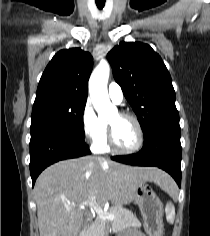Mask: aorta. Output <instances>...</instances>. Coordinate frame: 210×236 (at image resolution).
Listing matches in <instances>:
<instances>
[{"label": "aorta", "instance_id": "762f6f07", "mask_svg": "<svg viewBox=\"0 0 210 236\" xmlns=\"http://www.w3.org/2000/svg\"><path fill=\"white\" fill-rule=\"evenodd\" d=\"M110 74V65L107 61H100L92 72L89 79V93L100 118H107L117 112L114 105L111 104L107 83Z\"/></svg>", "mask_w": 210, "mask_h": 236}]
</instances>
